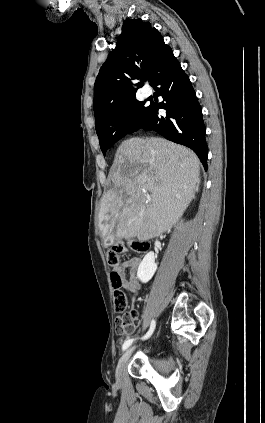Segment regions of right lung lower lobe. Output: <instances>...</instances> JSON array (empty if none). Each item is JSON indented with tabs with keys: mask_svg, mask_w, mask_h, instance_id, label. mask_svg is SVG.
<instances>
[{
	"mask_svg": "<svg viewBox=\"0 0 265 423\" xmlns=\"http://www.w3.org/2000/svg\"><path fill=\"white\" fill-rule=\"evenodd\" d=\"M159 91L165 102L151 104L141 122L132 129L153 130L166 139L191 148L207 170V144L201 107L191 82L174 58L151 84ZM166 110L160 116L158 109Z\"/></svg>",
	"mask_w": 265,
	"mask_h": 423,
	"instance_id": "obj_1",
	"label": "right lung lower lobe"
}]
</instances>
